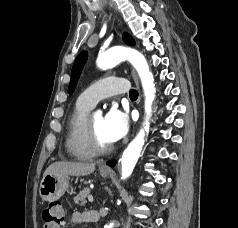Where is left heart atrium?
<instances>
[{"label": "left heart atrium", "instance_id": "left-heart-atrium-1", "mask_svg": "<svg viewBox=\"0 0 238 228\" xmlns=\"http://www.w3.org/2000/svg\"><path fill=\"white\" fill-rule=\"evenodd\" d=\"M104 134L112 143L122 139L129 130V118L125 112L113 107L103 118Z\"/></svg>", "mask_w": 238, "mask_h": 228}]
</instances>
